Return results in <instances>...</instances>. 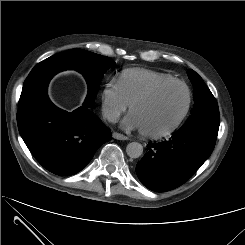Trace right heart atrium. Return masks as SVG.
<instances>
[{"instance_id": "1", "label": "right heart atrium", "mask_w": 245, "mask_h": 245, "mask_svg": "<svg viewBox=\"0 0 245 245\" xmlns=\"http://www.w3.org/2000/svg\"><path fill=\"white\" fill-rule=\"evenodd\" d=\"M128 103L124 99L117 83H107L101 92V112L103 117L115 122L127 110Z\"/></svg>"}]
</instances>
